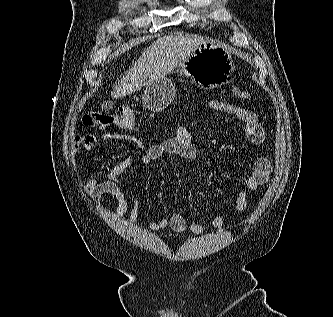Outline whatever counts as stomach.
Returning a JSON list of instances; mask_svg holds the SVG:
<instances>
[{
    "mask_svg": "<svg viewBox=\"0 0 333 317\" xmlns=\"http://www.w3.org/2000/svg\"><path fill=\"white\" fill-rule=\"evenodd\" d=\"M234 70L235 65L229 50L207 41L201 44L189 59L181 63L176 72L190 77L199 88L210 89L228 82ZM174 97L173 82L162 77L148 83L142 99L148 110L160 112L170 105Z\"/></svg>",
    "mask_w": 333,
    "mask_h": 317,
    "instance_id": "0dacf381",
    "label": "stomach"
}]
</instances>
